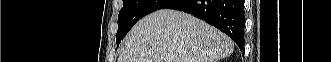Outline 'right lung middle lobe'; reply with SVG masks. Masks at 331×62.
Wrapping results in <instances>:
<instances>
[{
    "instance_id": "dd1d6c3e",
    "label": "right lung middle lobe",
    "mask_w": 331,
    "mask_h": 62,
    "mask_svg": "<svg viewBox=\"0 0 331 62\" xmlns=\"http://www.w3.org/2000/svg\"><path fill=\"white\" fill-rule=\"evenodd\" d=\"M173 0H123V8L118 16L117 46L132 26L145 15L163 9Z\"/></svg>"
}]
</instances>
